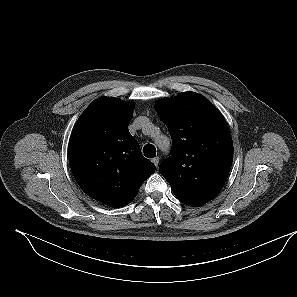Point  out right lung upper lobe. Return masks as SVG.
Wrapping results in <instances>:
<instances>
[{"label":"right lung upper lobe","mask_w":297,"mask_h":297,"mask_svg":"<svg viewBox=\"0 0 297 297\" xmlns=\"http://www.w3.org/2000/svg\"><path fill=\"white\" fill-rule=\"evenodd\" d=\"M133 105L118 98L94 100L77 120L69 141V163L81 189L111 207L137 195L155 165L129 133Z\"/></svg>","instance_id":"1"}]
</instances>
